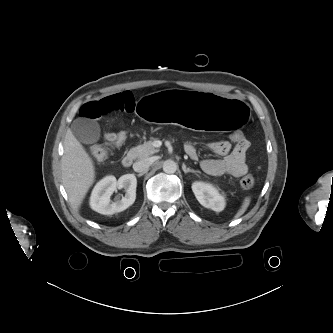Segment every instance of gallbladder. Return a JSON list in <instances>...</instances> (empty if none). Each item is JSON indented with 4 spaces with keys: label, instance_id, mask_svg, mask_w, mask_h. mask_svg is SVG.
Returning <instances> with one entry per match:
<instances>
[{
    "label": "gallbladder",
    "instance_id": "bac80fb5",
    "mask_svg": "<svg viewBox=\"0 0 333 333\" xmlns=\"http://www.w3.org/2000/svg\"><path fill=\"white\" fill-rule=\"evenodd\" d=\"M73 135L84 144L96 142L100 137V127L95 121L79 117L71 125Z\"/></svg>",
    "mask_w": 333,
    "mask_h": 333
}]
</instances>
